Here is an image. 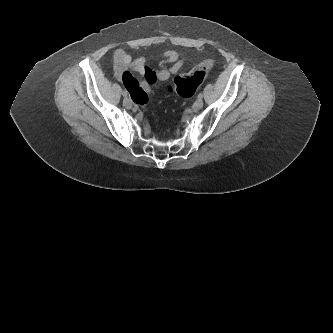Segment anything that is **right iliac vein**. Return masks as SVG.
<instances>
[{
    "instance_id": "right-iliac-vein-1",
    "label": "right iliac vein",
    "mask_w": 333,
    "mask_h": 333,
    "mask_svg": "<svg viewBox=\"0 0 333 333\" xmlns=\"http://www.w3.org/2000/svg\"><path fill=\"white\" fill-rule=\"evenodd\" d=\"M123 105L127 108V109H131L132 108V102L129 98H124L123 100Z\"/></svg>"
}]
</instances>
